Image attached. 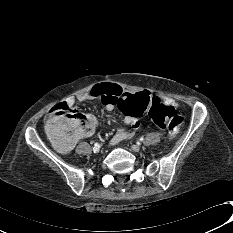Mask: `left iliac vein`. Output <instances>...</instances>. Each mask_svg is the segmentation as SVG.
I'll return each instance as SVG.
<instances>
[{
    "label": "left iliac vein",
    "mask_w": 233,
    "mask_h": 233,
    "mask_svg": "<svg viewBox=\"0 0 233 233\" xmlns=\"http://www.w3.org/2000/svg\"><path fill=\"white\" fill-rule=\"evenodd\" d=\"M131 149L134 151V152H139L141 150L140 146L139 145H132Z\"/></svg>",
    "instance_id": "left-iliac-vein-1"
}]
</instances>
